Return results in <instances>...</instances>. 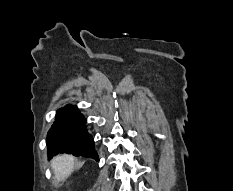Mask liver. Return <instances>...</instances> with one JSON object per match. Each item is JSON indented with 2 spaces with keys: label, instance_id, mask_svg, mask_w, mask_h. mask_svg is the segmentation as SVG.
<instances>
[{
  "label": "liver",
  "instance_id": "liver-1",
  "mask_svg": "<svg viewBox=\"0 0 233 191\" xmlns=\"http://www.w3.org/2000/svg\"><path fill=\"white\" fill-rule=\"evenodd\" d=\"M75 158L72 155H58L51 161V166L55 175V179L60 182L67 178L74 167Z\"/></svg>",
  "mask_w": 233,
  "mask_h": 191
}]
</instances>
